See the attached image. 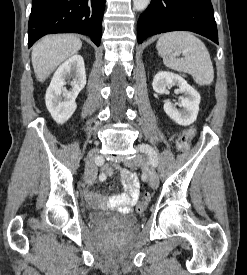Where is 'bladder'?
I'll list each match as a JSON object with an SVG mask.
<instances>
[{
  "mask_svg": "<svg viewBox=\"0 0 247 275\" xmlns=\"http://www.w3.org/2000/svg\"><path fill=\"white\" fill-rule=\"evenodd\" d=\"M89 220L94 225L101 226H134L136 217L133 215H124L112 211L92 210L89 213Z\"/></svg>",
  "mask_w": 247,
  "mask_h": 275,
  "instance_id": "31cf9c89",
  "label": "bladder"
}]
</instances>
